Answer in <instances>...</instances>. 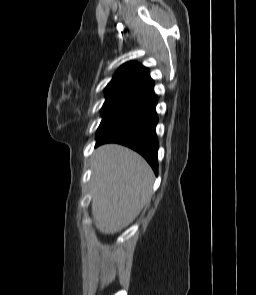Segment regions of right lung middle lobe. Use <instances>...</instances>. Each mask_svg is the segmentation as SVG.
<instances>
[{
	"label": "right lung middle lobe",
	"instance_id": "1",
	"mask_svg": "<svg viewBox=\"0 0 256 295\" xmlns=\"http://www.w3.org/2000/svg\"><path fill=\"white\" fill-rule=\"evenodd\" d=\"M131 100H114L105 102L101 109L102 121L98 127L97 134L108 125Z\"/></svg>",
	"mask_w": 256,
	"mask_h": 295
}]
</instances>
